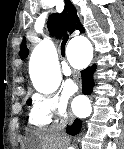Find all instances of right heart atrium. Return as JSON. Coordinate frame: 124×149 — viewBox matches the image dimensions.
<instances>
[{"label":"right heart atrium","instance_id":"right-heart-atrium-1","mask_svg":"<svg viewBox=\"0 0 124 149\" xmlns=\"http://www.w3.org/2000/svg\"><path fill=\"white\" fill-rule=\"evenodd\" d=\"M67 101L49 95H36L29 113V123L36 127H45L53 123L54 116L66 115Z\"/></svg>","mask_w":124,"mask_h":149}]
</instances>
